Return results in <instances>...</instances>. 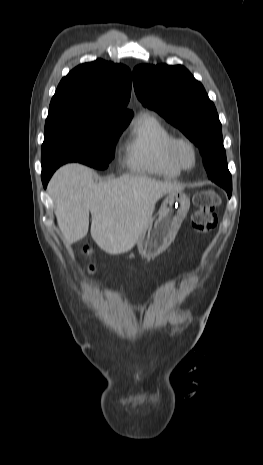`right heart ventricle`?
I'll return each instance as SVG.
<instances>
[{"mask_svg": "<svg viewBox=\"0 0 263 465\" xmlns=\"http://www.w3.org/2000/svg\"><path fill=\"white\" fill-rule=\"evenodd\" d=\"M172 138L171 132L158 118L142 113L124 141V163L136 173L179 177L182 170L170 159L168 151Z\"/></svg>", "mask_w": 263, "mask_h": 465, "instance_id": "obj_1", "label": "right heart ventricle"}]
</instances>
